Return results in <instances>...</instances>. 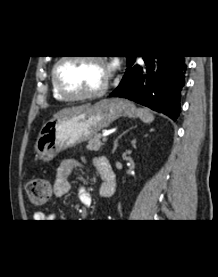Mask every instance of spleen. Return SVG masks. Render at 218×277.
Returning <instances> with one entry per match:
<instances>
[{
    "mask_svg": "<svg viewBox=\"0 0 218 277\" xmlns=\"http://www.w3.org/2000/svg\"><path fill=\"white\" fill-rule=\"evenodd\" d=\"M137 115L145 123H151L154 120L153 114L147 109L138 108Z\"/></svg>",
    "mask_w": 218,
    "mask_h": 277,
    "instance_id": "spleen-1",
    "label": "spleen"
}]
</instances>
